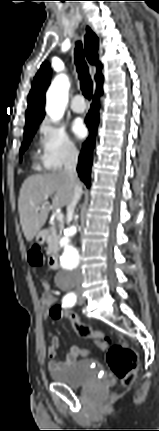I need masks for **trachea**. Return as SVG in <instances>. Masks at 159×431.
Returning <instances> with one entry per match:
<instances>
[{"mask_svg":"<svg viewBox=\"0 0 159 431\" xmlns=\"http://www.w3.org/2000/svg\"><path fill=\"white\" fill-rule=\"evenodd\" d=\"M75 64L80 80L82 93L88 100H90L92 96L93 83L89 75L88 65L83 55V46L81 42L76 43Z\"/></svg>","mask_w":159,"mask_h":431,"instance_id":"3493384b","label":"trachea"}]
</instances>
